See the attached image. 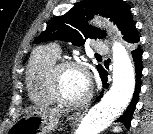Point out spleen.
<instances>
[{"mask_svg":"<svg viewBox=\"0 0 153 134\" xmlns=\"http://www.w3.org/2000/svg\"><path fill=\"white\" fill-rule=\"evenodd\" d=\"M114 132H120L121 131V128L119 126H116L114 129H113Z\"/></svg>","mask_w":153,"mask_h":134,"instance_id":"3e777b00","label":"spleen"}]
</instances>
